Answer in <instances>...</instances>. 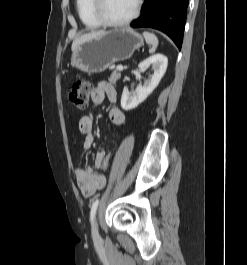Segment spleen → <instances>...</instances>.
<instances>
[{
  "instance_id": "3e777b00",
  "label": "spleen",
  "mask_w": 247,
  "mask_h": 265,
  "mask_svg": "<svg viewBox=\"0 0 247 265\" xmlns=\"http://www.w3.org/2000/svg\"><path fill=\"white\" fill-rule=\"evenodd\" d=\"M143 36L146 43L151 46L149 52L154 53L159 43L158 38L153 33L149 32H143Z\"/></svg>"
}]
</instances>
